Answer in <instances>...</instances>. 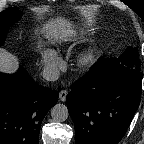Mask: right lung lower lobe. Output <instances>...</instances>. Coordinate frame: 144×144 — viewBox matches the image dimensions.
I'll return each mask as SVG.
<instances>
[{
	"instance_id": "1",
	"label": "right lung lower lobe",
	"mask_w": 144,
	"mask_h": 144,
	"mask_svg": "<svg viewBox=\"0 0 144 144\" xmlns=\"http://www.w3.org/2000/svg\"><path fill=\"white\" fill-rule=\"evenodd\" d=\"M58 93L41 85L20 67L0 73V144H38L41 123Z\"/></svg>"
}]
</instances>
